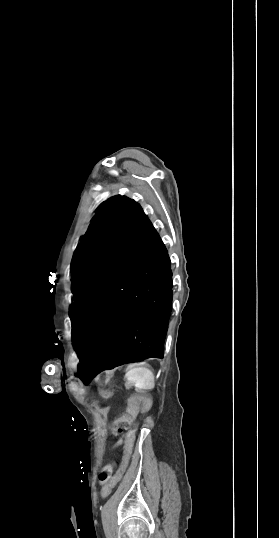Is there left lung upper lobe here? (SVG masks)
<instances>
[{
    "instance_id": "obj_1",
    "label": "left lung upper lobe",
    "mask_w": 279,
    "mask_h": 538,
    "mask_svg": "<svg viewBox=\"0 0 279 538\" xmlns=\"http://www.w3.org/2000/svg\"><path fill=\"white\" fill-rule=\"evenodd\" d=\"M152 227L134 200L118 195L102 204L72 259L75 302L71 305L70 317L73 328L83 320Z\"/></svg>"
}]
</instances>
